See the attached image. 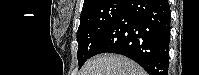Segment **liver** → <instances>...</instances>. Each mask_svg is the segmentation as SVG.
Wrapping results in <instances>:
<instances>
[{
	"mask_svg": "<svg viewBox=\"0 0 199 75\" xmlns=\"http://www.w3.org/2000/svg\"><path fill=\"white\" fill-rule=\"evenodd\" d=\"M80 75H147L134 61L116 54H100L89 59Z\"/></svg>",
	"mask_w": 199,
	"mask_h": 75,
	"instance_id": "obj_1",
	"label": "liver"
}]
</instances>
